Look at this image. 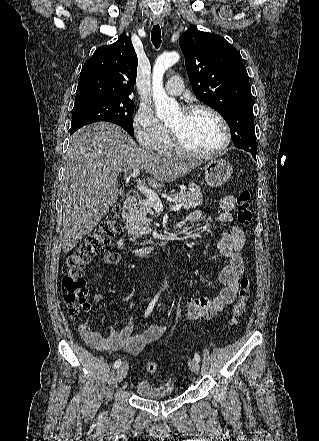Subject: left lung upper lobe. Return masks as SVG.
Instances as JSON below:
<instances>
[{
	"mask_svg": "<svg viewBox=\"0 0 319 441\" xmlns=\"http://www.w3.org/2000/svg\"><path fill=\"white\" fill-rule=\"evenodd\" d=\"M196 97L217 110L237 148L257 153L249 77L238 50L223 37L190 27L180 39Z\"/></svg>",
	"mask_w": 319,
	"mask_h": 441,
	"instance_id": "5c2ea615",
	"label": "left lung upper lobe"
}]
</instances>
